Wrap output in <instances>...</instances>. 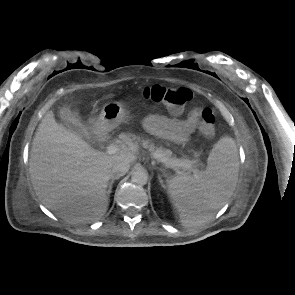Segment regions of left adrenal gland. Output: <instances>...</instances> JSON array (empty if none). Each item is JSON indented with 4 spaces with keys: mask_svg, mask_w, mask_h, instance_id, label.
Wrapping results in <instances>:
<instances>
[{
    "mask_svg": "<svg viewBox=\"0 0 295 295\" xmlns=\"http://www.w3.org/2000/svg\"><path fill=\"white\" fill-rule=\"evenodd\" d=\"M158 179H159V182L161 183L162 187H164V185H163V180L161 179L160 176H158Z\"/></svg>",
    "mask_w": 295,
    "mask_h": 295,
    "instance_id": "left-adrenal-gland-1",
    "label": "left adrenal gland"
}]
</instances>
